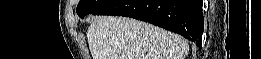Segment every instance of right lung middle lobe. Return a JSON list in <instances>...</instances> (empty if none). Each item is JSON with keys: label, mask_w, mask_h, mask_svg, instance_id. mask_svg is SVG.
I'll return each mask as SVG.
<instances>
[{"label": "right lung middle lobe", "mask_w": 261, "mask_h": 59, "mask_svg": "<svg viewBox=\"0 0 261 59\" xmlns=\"http://www.w3.org/2000/svg\"><path fill=\"white\" fill-rule=\"evenodd\" d=\"M110 0H81L77 6V14L84 18L88 14H94Z\"/></svg>", "instance_id": "dd1d6c3e"}]
</instances>
